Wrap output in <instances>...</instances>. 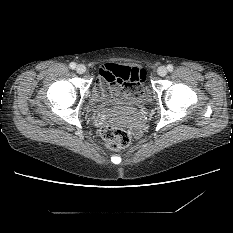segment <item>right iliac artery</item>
I'll list each match as a JSON object with an SVG mask.
<instances>
[{
	"mask_svg": "<svg viewBox=\"0 0 233 233\" xmlns=\"http://www.w3.org/2000/svg\"><path fill=\"white\" fill-rule=\"evenodd\" d=\"M69 66H70L71 69H75L76 68V64L74 62H71Z\"/></svg>",
	"mask_w": 233,
	"mask_h": 233,
	"instance_id": "1",
	"label": "right iliac artery"
}]
</instances>
